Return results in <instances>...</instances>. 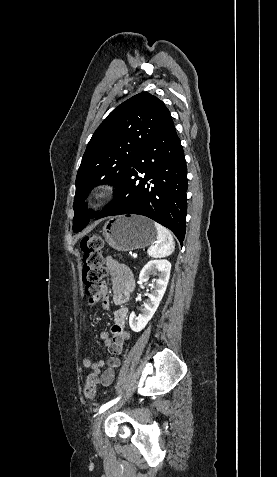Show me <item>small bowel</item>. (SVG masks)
Returning a JSON list of instances; mask_svg holds the SVG:
<instances>
[{"instance_id": "1", "label": "small bowel", "mask_w": 277, "mask_h": 477, "mask_svg": "<svg viewBox=\"0 0 277 477\" xmlns=\"http://www.w3.org/2000/svg\"><path fill=\"white\" fill-rule=\"evenodd\" d=\"M106 265L111 275L113 301L117 305L124 304L135 288V280L131 270L108 257ZM100 301L104 309H109L111 306L110 292L106 285H102L99 297L90 300V304ZM128 310L126 307H120L114 313V325L111 330V336L103 331L100 333V338L103 340L106 348L111 356L107 359V369L102 370L105 366L104 360L92 362L88 357L83 359V365L93 371V374L100 377L102 386H109L112 384L115 377V370L120 366V360L117 357L123 349L124 343L129 340L130 335L125 329L126 318Z\"/></svg>"}]
</instances>
